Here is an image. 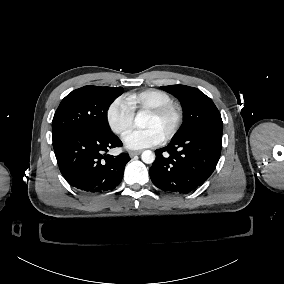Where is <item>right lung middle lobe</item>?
Instances as JSON below:
<instances>
[{
  "label": "right lung middle lobe",
  "instance_id": "1",
  "mask_svg": "<svg viewBox=\"0 0 284 284\" xmlns=\"http://www.w3.org/2000/svg\"><path fill=\"white\" fill-rule=\"evenodd\" d=\"M122 92V87L89 85L69 93L61 101L53 117V141L72 132H111L107 111Z\"/></svg>",
  "mask_w": 284,
  "mask_h": 284
}]
</instances>
